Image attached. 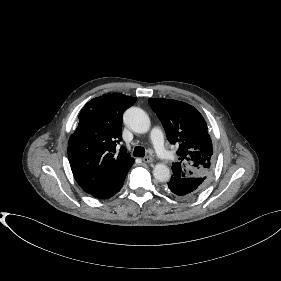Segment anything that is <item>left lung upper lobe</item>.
I'll list each match as a JSON object with an SVG mask.
<instances>
[{
    "label": "left lung upper lobe",
    "mask_w": 281,
    "mask_h": 281,
    "mask_svg": "<svg viewBox=\"0 0 281 281\" xmlns=\"http://www.w3.org/2000/svg\"><path fill=\"white\" fill-rule=\"evenodd\" d=\"M150 107L165 129L167 139L178 146V162L172 166L171 178L209 179L215 164V154L207 124L193 106L177 100L150 98Z\"/></svg>",
    "instance_id": "5c2ea615"
}]
</instances>
